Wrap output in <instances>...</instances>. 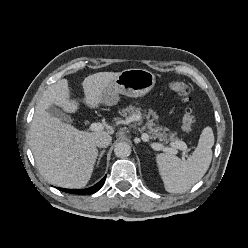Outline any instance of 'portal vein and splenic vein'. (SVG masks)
Segmentation results:
<instances>
[{
	"label": "portal vein and splenic vein",
	"mask_w": 248,
	"mask_h": 248,
	"mask_svg": "<svg viewBox=\"0 0 248 248\" xmlns=\"http://www.w3.org/2000/svg\"><path fill=\"white\" fill-rule=\"evenodd\" d=\"M89 129L91 131H100V130H103L104 129V125L102 123H99V122L98 123H92L90 125ZM142 140L145 141V142L149 141V135L146 134V133H144L142 135ZM150 145L156 151L163 150V151L170 152L172 154H177V150L176 149H180V150H184V151L187 150V145L184 142L173 143L171 145L173 148L163 147V145L162 144H159V143H151Z\"/></svg>",
	"instance_id": "obj_1"
}]
</instances>
